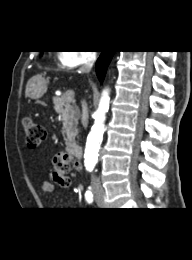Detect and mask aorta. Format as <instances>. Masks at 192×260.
<instances>
[{
	"mask_svg": "<svg viewBox=\"0 0 192 260\" xmlns=\"http://www.w3.org/2000/svg\"><path fill=\"white\" fill-rule=\"evenodd\" d=\"M109 102V89H105L102 92L98 108L95 112L94 124L87 137L84 154V165L88 171H92L98 162L99 149L104 134V123L106 119V113L109 109Z\"/></svg>",
	"mask_w": 192,
	"mask_h": 260,
	"instance_id": "aorta-1",
	"label": "aorta"
}]
</instances>
